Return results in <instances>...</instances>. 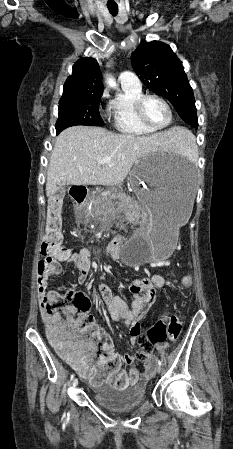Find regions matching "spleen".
<instances>
[{
    "label": "spleen",
    "mask_w": 233,
    "mask_h": 449,
    "mask_svg": "<svg viewBox=\"0 0 233 449\" xmlns=\"http://www.w3.org/2000/svg\"><path fill=\"white\" fill-rule=\"evenodd\" d=\"M174 151L178 154L192 155L196 152V145L194 143L193 135L186 130V134H184V139L179 142ZM185 224V223H184Z\"/></svg>",
    "instance_id": "obj_1"
}]
</instances>
